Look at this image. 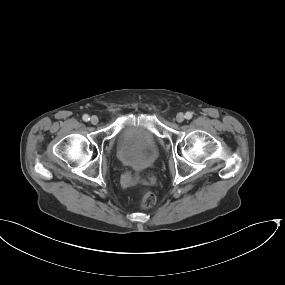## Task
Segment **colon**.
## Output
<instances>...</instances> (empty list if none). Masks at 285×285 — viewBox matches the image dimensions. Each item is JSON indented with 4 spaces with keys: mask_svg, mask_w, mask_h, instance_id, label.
Instances as JSON below:
<instances>
[{
    "mask_svg": "<svg viewBox=\"0 0 285 285\" xmlns=\"http://www.w3.org/2000/svg\"><path fill=\"white\" fill-rule=\"evenodd\" d=\"M156 203V196L151 191H144L140 199V205L143 208H151Z\"/></svg>",
    "mask_w": 285,
    "mask_h": 285,
    "instance_id": "1",
    "label": "colon"
}]
</instances>
